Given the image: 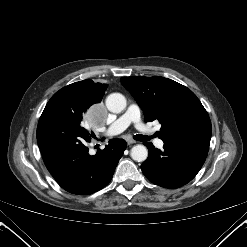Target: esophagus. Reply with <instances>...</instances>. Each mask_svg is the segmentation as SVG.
I'll list each match as a JSON object with an SVG mask.
<instances>
[{
	"mask_svg": "<svg viewBox=\"0 0 247 247\" xmlns=\"http://www.w3.org/2000/svg\"><path fill=\"white\" fill-rule=\"evenodd\" d=\"M126 142H127L128 145H131V144L136 143V141L133 140V139H131V138H127V139H126Z\"/></svg>",
	"mask_w": 247,
	"mask_h": 247,
	"instance_id": "34e87169",
	"label": "esophagus"
}]
</instances>
